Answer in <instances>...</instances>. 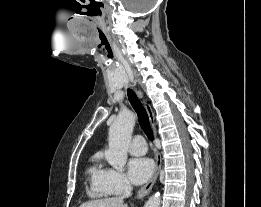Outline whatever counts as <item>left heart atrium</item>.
<instances>
[{
	"mask_svg": "<svg viewBox=\"0 0 261 207\" xmlns=\"http://www.w3.org/2000/svg\"><path fill=\"white\" fill-rule=\"evenodd\" d=\"M128 175L132 183L139 185L146 182L154 170L153 161L146 157H135L128 161Z\"/></svg>",
	"mask_w": 261,
	"mask_h": 207,
	"instance_id": "obj_1",
	"label": "left heart atrium"
}]
</instances>
